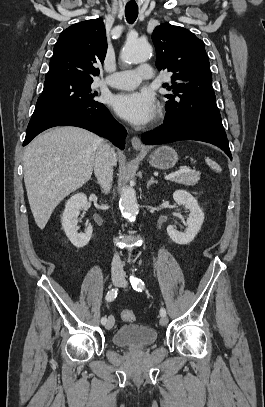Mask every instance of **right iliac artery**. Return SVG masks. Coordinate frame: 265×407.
Returning <instances> with one entry per match:
<instances>
[{"mask_svg": "<svg viewBox=\"0 0 265 407\" xmlns=\"http://www.w3.org/2000/svg\"><path fill=\"white\" fill-rule=\"evenodd\" d=\"M117 292H118V289L116 288V289H111V290H109L108 291V293H107V295H106V300L108 301V302H111V301H113L116 297H117ZM106 322H107V319H106V317H102L101 318V324H106Z\"/></svg>", "mask_w": 265, "mask_h": 407, "instance_id": "1", "label": "right iliac artery"}]
</instances>
